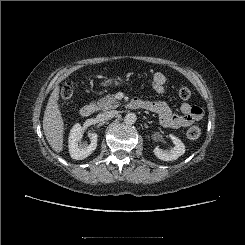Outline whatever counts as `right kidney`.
<instances>
[{
	"mask_svg": "<svg viewBox=\"0 0 245 245\" xmlns=\"http://www.w3.org/2000/svg\"><path fill=\"white\" fill-rule=\"evenodd\" d=\"M83 132L80 124H75L70 132L69 136V152L73 159L83 160L93 153L97 147L98 135L96 133H90V141L88 144H80Z\"/></svg>",
	"mask_w": 245,
	"mask_h": 245,
	"instance_id": "ca27d5eb",
	"label": "right kidney"
}]
</instances>
